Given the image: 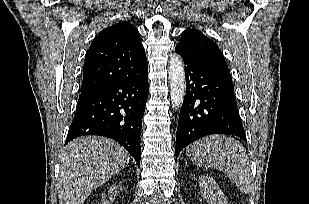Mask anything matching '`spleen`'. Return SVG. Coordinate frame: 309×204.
Masks as SVG:
<instances>
[{"label": "spleen", "mask_w": 309, "mask_h": 204, "mask_svg": "<svg viewBox=\"0 0 309 204\" xmlns=\"http://www.w3.org/2000/svg\"><path fill=\"white\" fill-rule=\"evenodd\" d=\"M186 154L197 167L223 171L242 193L251 192V166L239 141L211 135L189 145Z\"/></svg>", "instance_id": "1"}]
</instances>
